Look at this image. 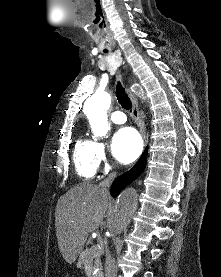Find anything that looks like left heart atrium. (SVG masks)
<instances>
[{
	"label": "left heart atrium",
	"mask_w": 221,
	"mask_h": 277,
	"mask_svg": "<svg viewBox=\"0 0 221 277\" xmlns=\"http://www.w3.org/2000/svg\"><path fill=\"white\" fill-rule=\"evenodd\" d=\"M142 150V140L131 127L119 129L112 139L111 151L116 160L121 163L134 161Z\"/></svg>",
	"instance_id": "1"
}]
</instances>
